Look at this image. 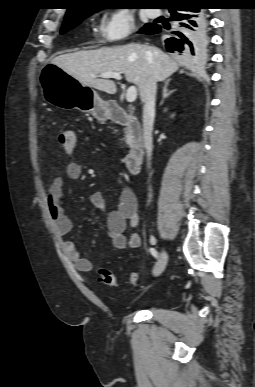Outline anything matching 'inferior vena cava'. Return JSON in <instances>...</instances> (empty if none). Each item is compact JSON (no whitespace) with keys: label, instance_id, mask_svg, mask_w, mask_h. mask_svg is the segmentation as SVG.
<instances>
[{"label":"inferior vena cava","instance_id":"inferior-vena-cava-1","mask_svg":"<svg viewBox=\"0 0 255 387\" xmlns=\"http://www.w3.org/2000/svg\"><path fill=\"white\" fill-rule=\"evenodd\" d=\"M157 92V80L154 76L150 77L146 83L144 90L141 92V100L143 106V135L144 146L147 153L148 161L151 160L152 155V130L155 118V99ZM150 165V162L148 163ZM152 195L149 194V197Z\"/></svg>","mask_w":255,"mask_h":387}]
</instances>
